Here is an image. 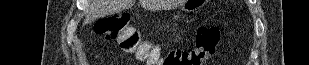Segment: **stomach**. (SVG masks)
I'll return each mask as SVG.
<instances>
[{
  "mask_svg": "<svg viewBox=\"0 0 309 65\" xmlns=\"http://www.w3.org/2000/svg\"><path fill=\"white\" fill-rule=\"evenodd\" d=\"M198 2H202V1L190 0L186 4L185 9H194L195 4H197Z\"/></svg>",
  "mask_w": 309,
  "mask_h": 65,
  "instance_id": "1",
  "label": "stomach"
}]
</instances>
